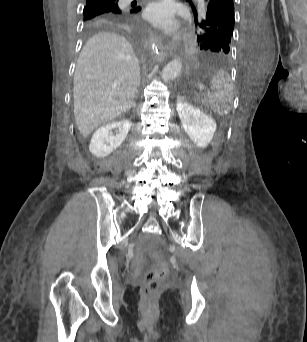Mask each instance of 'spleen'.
<instances>
[{"mask_svg":"<svg viewBox=\"0 0 307 342\" xmlns=\"http://www.w3.org/2000/svg\"><path fill=\"white\" fill-rule=\"evenodd\" d=\"M233 84L226 70H218L210 82V92L203 96L204 102H209L214 114H231L233 102Z\"/></svg>","mask_w":307,"mask_h":342,"instance_id":"obj_1","label":"spleen"}]
</instances>
